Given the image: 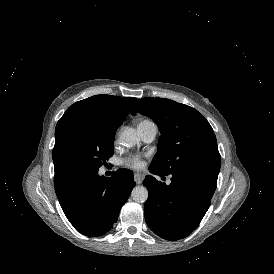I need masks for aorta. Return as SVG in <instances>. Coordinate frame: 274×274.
<instances>
[{
	"label": "aorta",
	"mask_w": 274,
	"mask_h": 274,
	"mask_svg": "<svg viewBox=\"0 0 274 274\" xmlns=\"http://www.w3.org/2000/svg\"><path fill=\"white\" fill-rule=\"evenodd\" d=\"M119 139L122 145L126 147H132L138 141L137 134L133 128L124 129L121 132ZM148 196H149L148 190L144 186H136L133 188L131 192L132 199L138 203L146 202L148 199Z\"/></svg>",
	"instance_id": "1"
}]
</instances>
